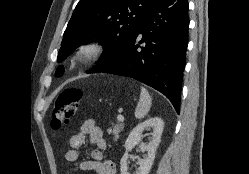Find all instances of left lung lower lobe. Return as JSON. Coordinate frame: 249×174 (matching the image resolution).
Returning a JSON list of instances; mask_svg holds the SVG:
<instances>
[{"label":"left lung lower lobe","mask_w":249,"mask_h":174,"mask_svg":"<svg viewBox=\"0 0 249 174\" xmlns=\"http://www.w3.org/2000/svg\"><path fill=\"white\" fill-rule=\"evenodd\" d=\"M188 10L187 0H155L122 57L112 66L91 73H111L141 81L163 93L179 114ZM140 35L142 39L138 41Z\"/></svg>","instance_id":"0a47b994"}]
</instances>
